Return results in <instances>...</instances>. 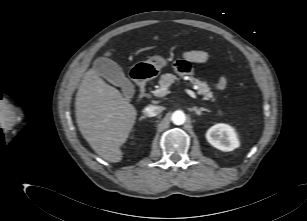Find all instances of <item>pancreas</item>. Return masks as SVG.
<instances>
[{
    "instance_id": "pancreas-1",
    "label": "pancreas",
    "mask_w": 307,
    "mask_h": 221,
    "mask_svg": "<svg viewBox=\"0 0 307 221\" xmlns=\"http://www.w3.org/2000/svg\"><path fill=\"white\" fill-rule=\"evenodd\" d=\"M177 80L178 78L176 75L166 73L161 76L159 80V86L160 88H169ZM190 82L197 86L198 94L203 96L205 100H211L212 102L215 101L213 92L211 91V88L208 86L207 82L201 81L199 78L194 77L190 78Z\"/></svg>"
}]
</instances>
